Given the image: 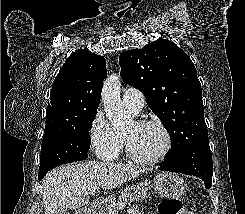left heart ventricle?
Masks as SVG:
<instances>
[{
  "label": "left heart ventricle",
  "instance_id": "b2bd125f",
  "mask_svg": "<svg viewBox=\"0 0 245 214\" xmlns=\"http://www.w3.org/2000/svg\"><path fill=\"white\" fill-rule=\"evenodd\" d=\"M123 135L131 148L143 157L156 156L165 144L163 133L154 126H140L132 122L123 130Z\"/></svg>",
  "mask_w": 245,
  "mask_h": 214
}]
</instances>
